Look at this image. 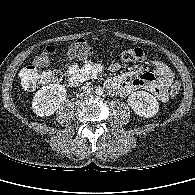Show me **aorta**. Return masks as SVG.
I'll list each match as a JSON object with an SVG mask.
<instances>
[{
	"label": "aorta",
	"instance_id": "obj_1",
	"mask_svg": "<svg viewBox=\"0 0 195 195\" xmlns=\"http://www.w3.org/2000/svg\"><path fill=\"white\" fill-rule=\"evenodd\" d=\"M103 88L102 87H97L96 88V90H95V92H96V94H98V95H102L103 94Z\"/></svg>",
	"mask_w": 195,
	"mask_h": 195
}]
</instances>
